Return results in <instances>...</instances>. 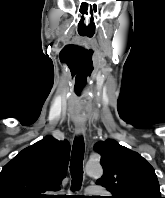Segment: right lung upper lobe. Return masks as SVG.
<instances>
[{"label": "right lung upper lobe", "mask_w": 165, "mask_h": 198, "mask_svg": "<svg viewBox=\"0 0 165 198\" xmlns=\"http://www.w3.org/2000/svg\"><path fill=\"white\" fill-rule=\"evenodd\" d=\"M70 145L52 136L22 150L0 173V198H45L67 174Z\"/></svg>", "instance_id": "cb5924a9"}]
</instances>
